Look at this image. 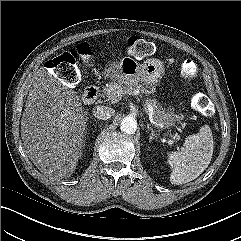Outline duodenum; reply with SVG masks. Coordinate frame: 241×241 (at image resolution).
<instances>
[{
	"mask_svg": "<svg viewBox=\"0 0 241 241\" xmlns=\"http://www.w3.org/2000/svg\"><path fill=\"white\" fill-rule=\"evenodd\" d=\"M98 96V88L96 86H89L85 89L82 100L85 104H92Z\"/></svg>",
	"mask_w": 241,
	"mask_h": 241,
	"instance_id": "1",
	"label": "duodenum"
}]
</instances>
